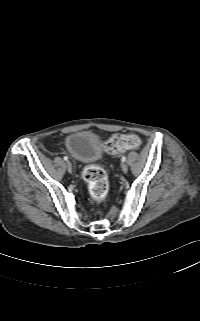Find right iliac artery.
I'll return each instance as SVG.
<instances>
[{"mask_svg": "<svg viewBox=\"0 0 200 321\" xmlns=\"http://www.w3.org/2000/svg\"><path fill=\"white\" fill-rule=\"evenodd\" d=\"M64 160L67 161V160H68V157H67V156H64Z\"/></svg>", "mask_w": 200, "mask_h": 321, "instance_id": "right-iliac-artery-1", "label": "right iliac artery"}]
</instances>
